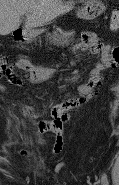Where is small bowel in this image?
Masks as SVG:
<instances>
[{
  "mask_svg": "<svg viewBox=\"0 0 119 185\" xmlns=\"http://www.w3.org/2000/svg\"><path fill=\"white\" fill-rule=\"evenodd\" d=\"M75 48L81 51L89 50L92 54H100L101 61L91 70L89 80L78 86L80 97L69 98L61 103L50 105L46 110L50 112L52 116L51 120H39L35 123L26 124V128L36 135H44L48 132L55 135V144L51 152L43 158L44 160L63 152V134L65 126L71 118L70 111L79 109L86 101L95 97L97 88L102 83L103 72L113 69L119 64V48L107 44L94 32H83L81 41L76 44ZM2 68L7 81L17 86L22 85L23 81L16 77L14 73L15 69L23 71L26 79L33 84L50 79L54 73L52 69L32 65L31 62L25 58L13 63L6 62ZM20 112L23 117H26L29 114V109L21 105ZM20 154L23 157L30 155L26 150H22ZM65 167V162H59L54 168V173L63 171Z\"/></svg>",
  "mask_w": 119,
  "mask_h": 185,
  "instance_id": "obj_1",
  "label": "small bowel"
}]
</instances>
